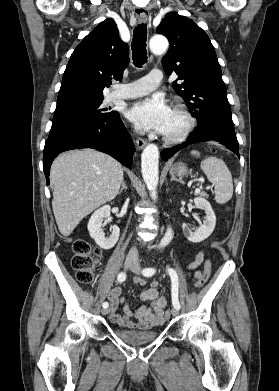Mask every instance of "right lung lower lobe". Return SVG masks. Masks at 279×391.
<instances>
[{"label": "right lung lower lobe", "instance_id": "1", "mask_svg": "<svg viewBox=\"0 0 279 391\" xmlns=\"http://www.w3.org/2000/svg\"><path fill=\"white\" fill-rule=\"evenodd\" d=\"M76 148L100 150L128 168H132V155L135 147L118 112L97 121L52 124L43 157V170L47 184H49L50 165L54 158L61 152Z\"/></svg>", "mask_w": 279, "mask_h": 391}]
</instances>
